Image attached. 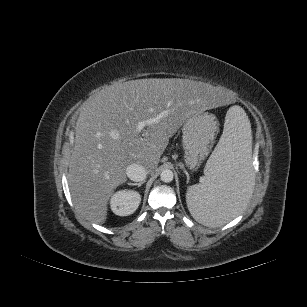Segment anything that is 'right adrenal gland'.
Listing matches in <instances>:
<instances>
[{"label": "right adrenal gland", "instance_id": "obj_1", "mask_svg": "<svg viewBox=\"0 0 307 307\" xmlns=\"http://www.w3.org/2000/svg\"><path fill=\"white\" fill-rule=\"evenodd\" d=\"M144 182H145V181H141V182H139V183H131V182H129L128 185L140 187Z\"/></svg>", "mask_w": 307, "mask_h": 307}]
</instances>
